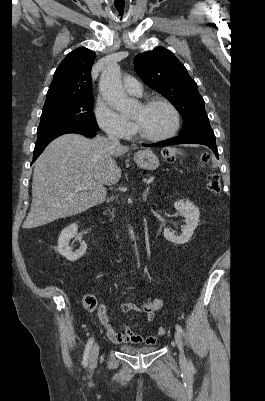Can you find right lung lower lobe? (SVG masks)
<instances>
[{"instance_id":"98d812e1","label":"right lung lower lobe","mask_w":265,"mask_h":401,"mask_svg":"<svg viewBox=\"0 0 265 401\" xmlns=\"http://www.w3.org/2000/svg\"><path fill=\"white\" fill-rule=\"evenodd\" d=\"M67 133H77L84 135L88 138H92L96 136V131L91 130H84L78 128H55L51 129L43 134L37 135V141L35 143V149L33 154V161L34 162L37 157L43 152L45 147L55 138L67 134Z\"/></svg>"}]
</instances>
